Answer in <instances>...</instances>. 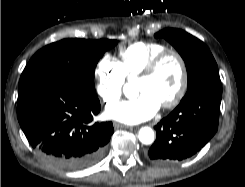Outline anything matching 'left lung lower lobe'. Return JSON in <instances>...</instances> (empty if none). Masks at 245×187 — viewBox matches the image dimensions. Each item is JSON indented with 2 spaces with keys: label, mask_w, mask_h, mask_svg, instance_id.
I'll return each instance as SVG.
<instances>
[{
  "label": "left lung lower lobe",
  "mask_w": 245,
  "mask_h": 187,
  "mask_svg": "<svg viewBox=\"0 0 245 187\" xmlns=\"http://www.w3.org/2000/svg\"><path fill=\"white\" fill-rule=\"evenodd\" d=\"M222 97L221 83L202 87L184 97L156 126L157 139L148 159L174 164L199 151L216 133Z\"/></svg>",
  "instance_id": "1"
}]
</instances>
